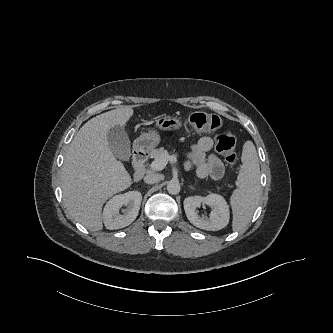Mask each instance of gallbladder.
Here are the masks:
<instances>
[{
	"label": "gallbladder",
	"mask_w": 333,
	"mask_h": 333,
	"mask_svg": "<svg viewBox=\"0 0 333 333\" xmlns=\"http://www.w3.org/2000/svg\"><path fill=\"white\" fill-rule=\"evenodd\" d=\"M108 144L113 155L129 161L131 157L130 140L125 129L119 125L112 127L107 133Z\"/></svg>",
	"instance_id": "bac80fb5"
}]
</instances>
